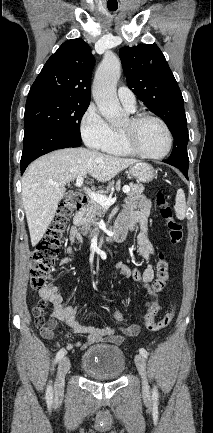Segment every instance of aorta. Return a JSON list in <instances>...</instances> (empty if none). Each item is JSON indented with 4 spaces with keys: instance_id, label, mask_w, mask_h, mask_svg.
Instances as JSON below:
<instances>
[{
    "instance_id": "1",
    "label": "aorta",
    "mask_w": 213,
    "mask_h": 433,
    "mask_svg": "<svg viewBox=\"0 0 213 433\" xmlns=\"http://www.w3.org/2000/svg\"><path fill=\"white\" fill-rule=\"evenodd\" d=\"M121 75V62L112 53H106L100 63L93 82V97L101 115L111 126H119L124 118L116 94V85Z\"/></svg>"
}]
</instances>
